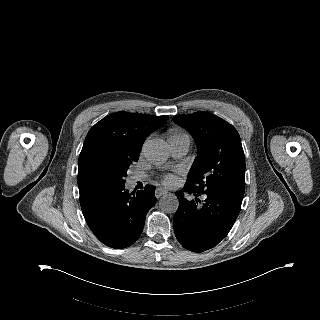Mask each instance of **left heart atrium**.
Here are the masks:
<instances>
[{
	"label": "left heart atrium",
	"instance_id": "obj_1",
	"mask_svg": "<svg viewBox=\"0 0 320 320\" xmlns=\"http://www.w3.org/2000/svg\"><path fill=\"white\" fill-rule=\"evenodd\" d=\"M178 179L174 175H167L164 178V184L167 186H174L177 183Z\"/></svg>",
	"mask_w": 320,
	"mask_h": 320
}]
</instances>
